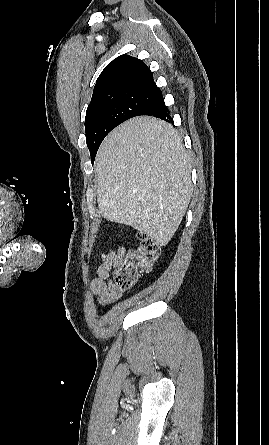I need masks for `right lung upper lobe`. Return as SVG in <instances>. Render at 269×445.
<instances>
[{"label":"right lung upper lobe","instance_id":"obj_1","mask_svg":"<svg viewBox=\"0 0 269 445\" xmlns=\"http://www.w3.org/2000/svg\"><path fill=\"white\" fill-rule=\"evenodd\" d=\"M136 87H157L152 72L140 59L123 54L109 63L99 75L91 101L105 93Z\"/></svg>","mask_w":269,"mask_h":445}]
</instances>
